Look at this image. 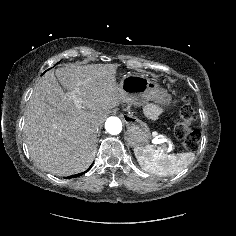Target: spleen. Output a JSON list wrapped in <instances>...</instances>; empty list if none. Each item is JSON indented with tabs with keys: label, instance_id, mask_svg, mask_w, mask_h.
<instances>
[{
	"label": "spleen",
	"instance_id": "1",
	"mask_svg": "<svg viewBox=\"0 0 236 236\" xmlns=\"http://www.w3.org/2000/svg\"><path fill=\"white\" fill-rule=\"evenodd\" d=\"M134 153L139 165L146 171L159 176H172L185 169L194 160L192 152L167 154L152 145L137 147Z\"/></svg>",
	"mask_w": 236,
	"mask_h": 236
}]
</instances>
